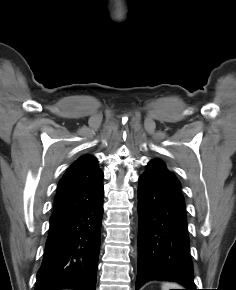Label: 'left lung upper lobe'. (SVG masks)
Here are the masks:
<instances>
[{
    "mask_svg": "<svg viewBox=\"0 0 236 290\" xmlns=\"http://www.w3.org/2000/svg\"><path fill=\"white\" fill-rule=\"evenodd\" d=\"M143 175L156 178L158 180L165 181L180 187V183L176 176L166 168L165 163L160 159L151 160L148 163L147 170Z\"/></svg>",
    "mask_w": 236,
    "mask_h": 290,
    "instance_id": "obj_1",
    "label": "left lung upper lobe"
}]
</instances>
